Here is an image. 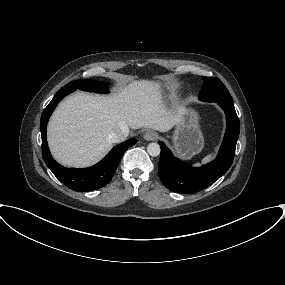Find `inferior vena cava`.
Listing matches in <instances>:
<instances>
[{
    "mask_svg": "<svg viewBox=\"0 0 285 285\" xmlns=\"http://www.w3.org/2000/svg\"><path fill=\"white\" fill-rule=\"evenodd\" d=\"M128 136H129V128L127 126H122L119 129L113 131L110 134L109 139L113 143H120L125 141Z\"/></svg>",
    "mask_w": 285,
    "mask_h": 285,
    "instance_id": "1",
    "label": "inferior vena cava"
}]
</instances>
